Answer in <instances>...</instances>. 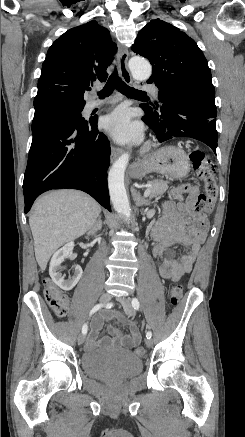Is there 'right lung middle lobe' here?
Wrapping results in <instances>:
<instances>
[{"label":"right lung middle lobe","mask_w":245,"mask_h":437,"mask_svg":"<svg viewBox=\"0 0 245 437\" xmlns=\"http://www.w3.org/2000/svg\"><path fill=\"white\" fill-rule=\"evenodd\" d=\"M83 108L84 105L69 103H57L37 108L32 122V132L54 120H73L78 124L86 123L87 120L81 115Z\"/></svg>","instance_id":"1"}]
</instances>
